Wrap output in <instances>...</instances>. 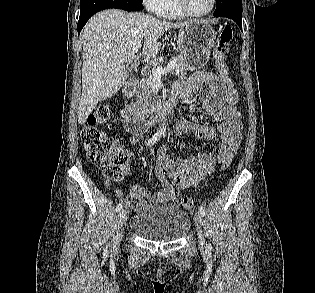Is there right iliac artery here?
<instances>
[{"mask_svg":"<svg viewBox=\"0 0 315 293\" xmlns=\"http://www.w3.org/2000/svg\"><path fill=\"white\" fill-rule=\"evenodd\" d=\"M161 136H162L161 133H156L151 139L148 140L147 146H151L152 144L156 143L161 138ZM122 207H123L122 204L119 203L116 206V211H120Z\"/></svg>","mask_w":315,"mask_h":293,"instance_id":"obj_1","label":"right iliac artery"}]
</instances>
